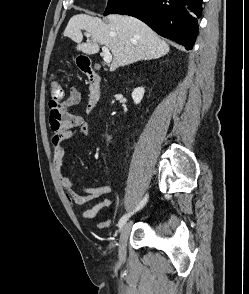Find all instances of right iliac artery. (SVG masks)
I'll return each instance as SVG.
<instances>
[{"mask_svg": "<svg viewBox=\"0 0 249 294\" xmlns=\"http://www.w3.org/2000/svg\"><path fill=\"white\" fill-rule=\"evenodd\" d=\"M148 196L146 195L143 200L139 203V205L135 208V210H133V212H130L128 214H125L121 217V219L119 220L118 226L119 228H121L126 221L128 220V218L130 217V215H132L134 212L138 211L139 209H141L147 202Z\"/></svg>", "mask_w": 249, "mask_h": 294, "instance_id": "obj_1", "label": "right iliac artery"}]
</instances>
